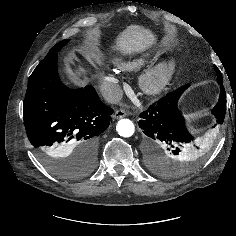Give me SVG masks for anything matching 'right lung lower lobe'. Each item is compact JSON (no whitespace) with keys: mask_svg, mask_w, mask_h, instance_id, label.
Returning a JSON list of instances; mask_svg holds the SVG:
<instances>
[{"mask_svg":"<svg viewBox=\"0 0 236 236\" xmlns=\"http://www.w3.org/2000/svg\"><path fill=\"white\" fill-rule=\"evenodd\" d=\"M113 109L95 89H69L59 80L57 54L31 74L23 104L27 137L40 154L64 155L73 145L78 162L95 164L98 135L109 127Z\"/></svg>","mask_w":236,"mask_h":236,"instance_id":"obj_1","label":"right lung lower lobe"}]
</instances>
